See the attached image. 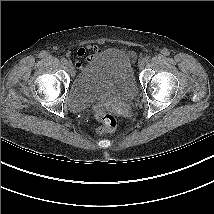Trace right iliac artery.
<instances>
[{
  "mask_svg": "<svg viewBox=\"0 0 214 214\" xmlns=\"http://www.w3.org/2000/svg\"><path fill=\"white\" fill-rule=\"evenodd\" d=\"M61 62L65 64V63L67 62V59H66V58H64V57H63V58H61Z\"/></svg>",
  "mask_w": 214,
  "mask_h": 214,
  "instance_id": "1",
  "label": "right iliac artery"
}]
</instances>
